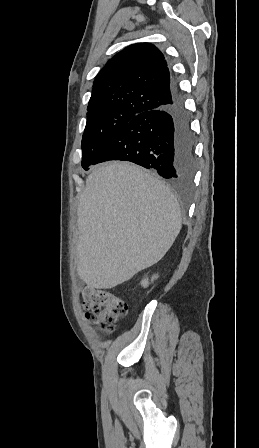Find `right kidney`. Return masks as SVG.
<instances>
[{
    "instance_id": "right-kidney-1",
    "label": "right kidney",
    "mask_w": 259,
    "mask_h": 448,
    "mask_svg": "<svg viewBox=\"0 0 259 448\" xmlns=\"http://www.w3.org/2000/svg\"><path fill=\"white\" fill-rule=\"evenodd\" d=\"M155 278H158V276H153L152 278V282L153 280H155ZM150 282H148V278H145V280H142L141 282V286H143V288H147V286H149Z\"/></svg>"
}]
</instances>
